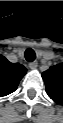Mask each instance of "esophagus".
I'll list each match as a JSON object with an SVG mask.
<instances>
[{"instance_id":"34e87169","label":"esophagus","mask_w":63,"mask_h":123,"mask_svg":"<svg viewBox=\"0 0 63 123\" xmlns=\"http://www.w3.org/2000/svg\"><path fill=\"white\" fill-rule=\"evenodd\" d=\"M37 66H38V63H37V62H31V63H29V67H30L31 69H36Z\"/></svg>"}]
</instances>
